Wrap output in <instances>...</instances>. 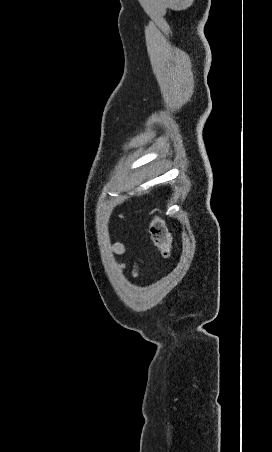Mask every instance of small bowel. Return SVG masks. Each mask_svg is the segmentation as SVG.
Returning a JSON list of instances; mask_svg holds the SVG:
<instances>
[{"mask_svg":"<svg viewBox=\"0 0 272 452\" xmlns=\"http://www.w3.org/2000/svg\"><path fill=\"white\" fill-rule=\"evenodd\" d=\"M112 250H113V252H114L116 255H118V256H122V255H124L125 252H126L125 246H124L122 243H119V242H116V243L113 245ZM118 268H119L121 271H123V270L126 268V265H125L123 262L120 261V262L118 263ZM133 275H134V277H137V276H138V271H137L136 268L133 269Z\"/></svg>","mask_w":272,"mask_h":452,"instance_id":"small-bowel-1","label":"small bowel"}]
</instances>
